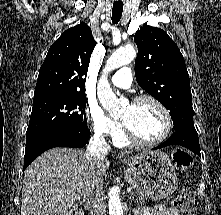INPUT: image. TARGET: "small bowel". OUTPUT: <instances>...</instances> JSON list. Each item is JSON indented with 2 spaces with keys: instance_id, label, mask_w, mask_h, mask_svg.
I'll return each instance as SVG.
<instances>
[{
  "instance_id": "small-bowel-1",
  "label": "small bowel",
  "mask_w": 221,
  "mask_h": 215,
  "mask_svg": "<svg viewBox=\"0 0 221 215\" xmlns=\"http://www.w3.org/2000/svg\"><path fill=\"white\" fill-rule=\"evenodd\" d=\"M135 215H180V212L175 207L157 205L152 208L138 207L135 210Z\"/></svg>"
}]
</instances>
